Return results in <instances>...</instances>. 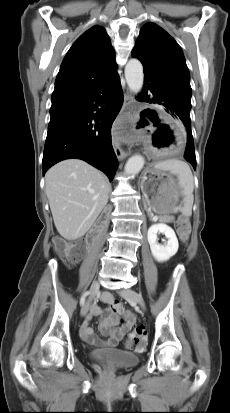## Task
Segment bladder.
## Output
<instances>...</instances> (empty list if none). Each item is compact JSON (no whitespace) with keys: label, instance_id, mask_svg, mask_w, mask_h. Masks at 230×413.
<instances>
[{"label":"bladder","instance_id":"1","mask_svg":"<svg viewBox=\"0 0 230 413\" xmlns=\"http://www.w3.org/2000/svg\"><path fill=\"white\" fill-rule=\"evenodd\" d=\"M91 358L114 370L131 368L139 363L137 355L118 350H96L91 353Z\"/></svg>","mask_w":230,"mask_h":413}]
</instances>
